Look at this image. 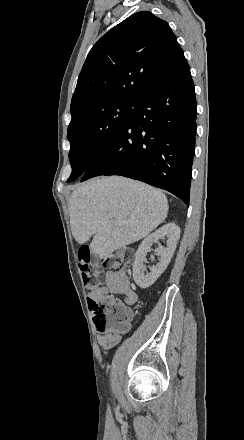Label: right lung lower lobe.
<instances>
[{
  "label": "right lung lower lobe",
  "mask_w": 244,
  "mask_h": 440,
  "mask_svg": "<svg viewBox=\"0 0 244 440\" xmlns=\"http://www.w3.org/2000/svg\"><path fill=\"white\" fill-rule=\"evenodd\" d=\"M196 100L187 61L160 75L140 98L127 125L81 181L120 175L165 189L189 205Z\"/></svg>",
  "instance_id": "98d812e1"
}]
</instances>
